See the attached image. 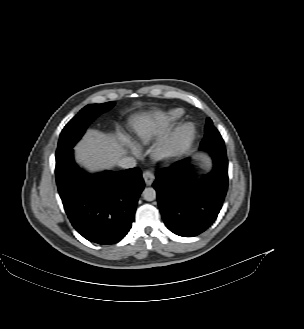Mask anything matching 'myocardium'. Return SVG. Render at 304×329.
I'll use <instances>...</instances> for the list:
<instances>
[{
	"mask_svg": "<svg viewBox=\"0 0 304 329\" xmlns=\"http://www.w3.org/2000/svg\"><path fill=\"white\" fill-rule=\"evenodd\" d=\"M195 133V126L192 123L180 125L154 146L153 157L158 161H169L178 157L194 138Z\"/></svg>",
	"mask_w": 304,
	"mask_h": 329,
	"instance_id": "f54148a6",
	"label": "myocardium"
}]
</instances>
